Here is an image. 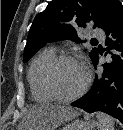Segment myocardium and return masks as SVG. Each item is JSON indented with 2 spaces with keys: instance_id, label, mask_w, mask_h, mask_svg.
Instances as JSON below:
<instances>
[{
  "instance_id": "myocardium-1",
  "label": "myocardium",
  "mask_w": 123,
  "mask_h": 130,
  "mask_svg": "<svg viewBox=\"0 0 123 130\" xmlns=\"http://www.w3.org/2000/svg\"><path fill=\"white\" fill-rule=\"evenodd\" d=\"M65 61L78 62V60L70 54L56 55V57L51 61V63L49 64L46 70L45 81H46L47 89L49 90V92L51 93V95L54 97L55 100L60 101V102H72L80 98L87 91V89L89 88L91 84L92 77L88 69L83 67L86 78L82 87L74 94H71V95L62 94L56 84V72L60 64Z\"/></svg>"
}]
</instances>
